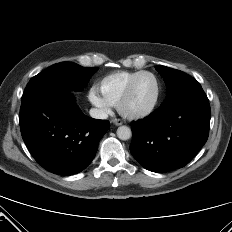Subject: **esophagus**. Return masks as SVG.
<instances>
[{"instance_id": "34e87169", "label": "esophagus", "mask_w": 232, "mask_h": 232, "mask_svg": "<svg viewBox=\"0 0 232 232\" xmlns=\"http://www.w3.org/2000/svg\"><path fill=\"white\" fill-rule=\"evenodd\" d=\"M112 122H113L116 126L122 125V123H123L120 119H113Z\"/></svg>"}]
</instances>
